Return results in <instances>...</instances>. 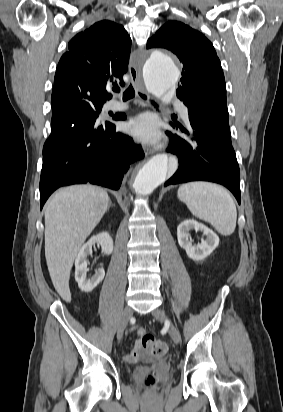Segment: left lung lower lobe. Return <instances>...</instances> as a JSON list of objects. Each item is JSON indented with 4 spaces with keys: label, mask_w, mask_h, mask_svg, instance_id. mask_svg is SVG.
I'll list each match as a JSON object with an SVG mask.
<instances>
[{
    "label": "left lung lower lobe",
    "mask_w": 283,
    "mask_h": 412,
    "mask_svg": "<svg viewBox=\"0 0 283 412\" xmlns=\"http://www.w3.org/2000/svg\"><path fill=\"white\" fill-rule=\"evenodd\" d=\"M189 120L188 130L181 128L182 137L167 132L171 137L167 151L177 155L179 168L164 186L198 180L216 182L227 187L240 204V171L231 139Z\"/></svg>",
    "instance_id": "left-lung-lower-lobe-1"
}]
</instances>
